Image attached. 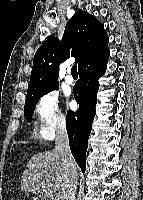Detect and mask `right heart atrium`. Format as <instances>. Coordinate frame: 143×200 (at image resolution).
<instances>
[{
    "mask_svg": "<svg viewBox=\"0 0 143 200\" xmlns=\"http://www.w3.org/2000/svg\"><path fill=\"white\" fill-rule=\"evenodd\" d=\"M35 114L38 123L37 136L42 140L53 138L66 125L59 106V97L54 91H48L40 96L35 105Z\"/></svg>",
    "mask_w": 143,
    "mask_h": 200,
    "instance_id": "d8ad5b80",
    "label": "right heart atrium"
}]
</instances>
